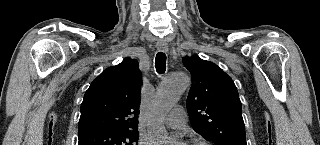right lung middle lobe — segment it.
Instances as JSON below:
<instances>
[{
  "label": "right lung middle lobe",
  "instance_id": "dd1d6c3e",
  "mask_svg": "<svg viewBox=\"0 0 320 145\" xmlns=\"http://www.w3.org/2000/svg\"><path fill=\"white\" fill-rule=\"evenodd\" d=\"M138 130H103L79 136L78 145H137Z\"/></svg>",
  "mask_w": 320,
  "mask_h": 145
}]
</instances>
